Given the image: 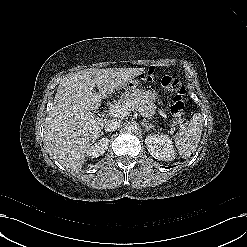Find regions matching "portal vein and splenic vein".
<instances>
[{
    "mask_svg": "<svg viewBox=\"0 0 247 247\" xmlns=\"http://www.w3.org/2000/svg\"><path fill=\"white\" fill-rule=\"evenodd\" d=\"M130 112L129 106H111L108 115L114 116V117H124ZM182 129H185L184 125H181Z\"/></svg>",
    "mask_w": 247,
    "mask_h": 247,
    "instance_id": "obj_1",
    "label": "portal vein and splenic vein"
}]
</instances>
